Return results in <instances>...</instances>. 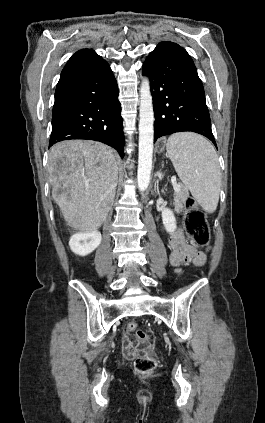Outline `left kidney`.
<instances>
[{"mask_svg": "<svg viewBox=\"0 0 265 423\" xmlns=\"http://www.w3.org/2000/svg\"><path fill=\"white\" fill-rule=\"evenodd\" d=\"M155 176H158L159 180L163 178V174L161 172H157ZM162 221L165 226V229L167 232L172 233L176 230V218L174 216V213L169 208H164L162 210Z\"/></svg>", "mask_w": 265, "mask_h": 423, "instance_id": "obj_1", "label": "left kidney"}]
</instances>
